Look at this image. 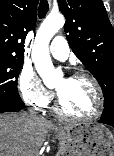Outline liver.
<instances>
[{
	"label": "liver",
	"mask_w": 114,
	"mask_h": 156,
	"mask_svg": "<svg viewBox=\"0 0 114 156\" xmlns=\"http://www.w3.org/2000/svg\"><path fill=\"white\" fill-rule=\"evenodd\" d=\"M55 128L43 117L23 112L0 114V156H36L48 131Z\"/></svg>",
	"instance_id": "1"
}]
</instances>
